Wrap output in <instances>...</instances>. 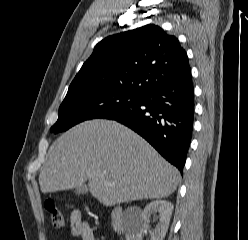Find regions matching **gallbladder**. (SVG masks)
Returning <instances> with one entry per match:
<instances>
[{
    "instance_id": "obj_1",
    "label": "gallbladder",
    "mask_w": 248,
    "mask_h": 240,
    "mask_svg": "<svg viewBox=\"0 0 248 240\" xmlns=\"http://www.w3.org/2000/svg\"><path fill=\"white\" fill-rule=\"evenodd\" d=\"M87 192H88V187L86 185H84V184L76 187V193L78 195L86 194Z\"/></svg>"
}]
</instances>
